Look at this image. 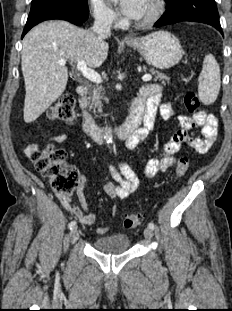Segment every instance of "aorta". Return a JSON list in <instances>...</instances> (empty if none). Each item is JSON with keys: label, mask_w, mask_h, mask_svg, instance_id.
I'll use <instances>...</instances> for the list:
<instances>
[{"label": "aorta", "mask_w": 232, "mask_h": 311, "mask_svg": "<svg viewBox=\"0 0 232 311\" xmlns=\"http://www.w3.org/2000/svg\"><path fill=\"white\" fill-rule=\"evenodd\" d=\"M104 139L106 140V142L108 144H112V142H113V135H112L111 127H106L105 128Z\"/></svg>", "instance_id": "762f6f07"}]
</instances>
